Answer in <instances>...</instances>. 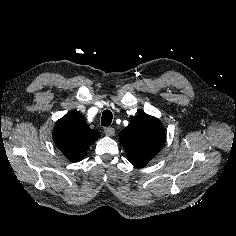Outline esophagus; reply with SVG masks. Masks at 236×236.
I'll return each mask as SVG.
<instances>
[{
  "label": "esophagus",
  "mask_w": 236,
  "mask_h": 236,
  "mask_svg": "<svg viewBox=\"0 0 236 236\" xmlns=\"http://www.w3.org/2000/svg\"><path fill=\"white\" fill-rule=\"evenodd\" d=\"M104 133L107 136H113L115 134V129L112 127H106V128H104Z\"/></svg>",
  "instance_id": "obj_1"
}]
</instances>
